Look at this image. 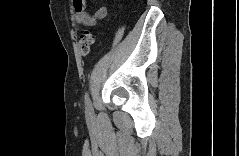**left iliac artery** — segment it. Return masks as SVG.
Returning a JSON list of instances; mask_svg holds the SVG:
<instances>
[{
  "label": "left iliac artery",
  "instance_id": "44dca946",
  "mask_svg": "<svg viewBox=\"0 0 239 156\" xmlns=\"http://www.w3.org/2000/svg\"><path fill=\"white\" fill-rule=\"evenodd\" d=\"M84 100H85V105L87 106V108H91V101H90L88 92L85 93Z\"/></svg>",
  "mask_w": 239,
  "mask_h": 156
}]
</instances>
